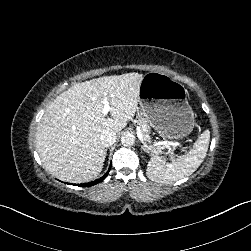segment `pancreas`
I'll use <instances>...</instances> for the list:
<instances>
[{"mask_svg":"<svg viewBox=\"0 0 251 251\" xmlns=\"http://www.w3.org/2000/svg\"><path fill=\"white\" fill-rule=\"evenodd\" d=\"M135 121L141 127V139L144 142L146 148H148V150H150L152 153L163 152V146L159 145L158 143L159 137H155V140H152L154 134H152V129L142 113L136 114Z\"/></svg>","mask_w":251,"mask_h":251,"instance_id":"cf45deb5","label":"pancreas"}]
</instances>
